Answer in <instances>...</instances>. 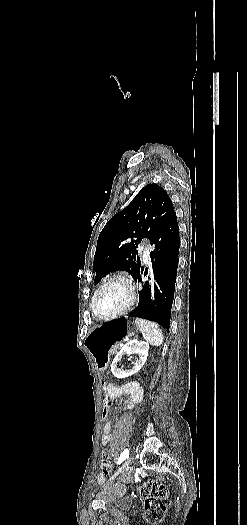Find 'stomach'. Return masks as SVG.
I'll return each mask as SVG.
<instances>
[{
    "label": "stomach",
    "mask_w": 247,
    "mask_h": 525,
    "mask_svg": "<svg viewBox=\"0 0 247 525\" xmlns=\"http://www.w3.org/2000/svg\"><path fill=\"white\" fill-rule=\"evenodd\" d=\"M137 331L138 325L127 317L96 325L85 340V347L92 355L96 368L104 371L108 365L110 349Z\"/></svg>",
    "instance_id": "obj_1"
}]
</instances>
